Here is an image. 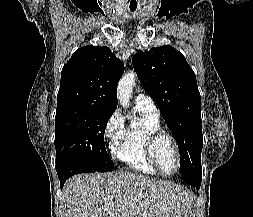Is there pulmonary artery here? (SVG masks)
<instances>
[{
  "label": "pulmonary artery",
  "mask_w": 253,
  "mask_h": 217,
  "mask_svg": "<svg viewBox=\"0 0 253 217\" xmlns=\"http://www.w3.org/2000/svg\"><path fill=\"white\" fill-rule=\"evenodd\" d=\"M135 106H136V108L145 110V111L149 112L150 114L159 117L158 107L156 106L153 99L145 93L141 92V93L137 94V96L135 98Z\"/></svg>",
  "instance_id": "obj_1"
}]
</instances>
